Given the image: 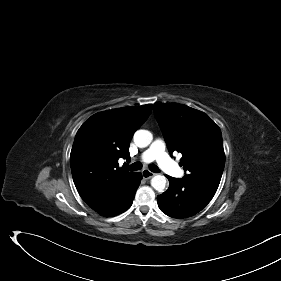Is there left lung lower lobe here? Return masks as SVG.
<instances>
[{"mask_svg":"<svg viewBox=\"0 0 281 281\" xmlns=\"http://www.w3.org/2000/svg\"><path fill=\"white\" fill-rule=\"evenodd\" d=\"M170 185L157 197L160 210L173 218H188L201 211L216 190L194 179H177L166 175Z\"/></svg>","mask_w":281,"mask_h":281,"instance_id":"0a47b994","label":"left lung lower lobe"}]
</instances>
